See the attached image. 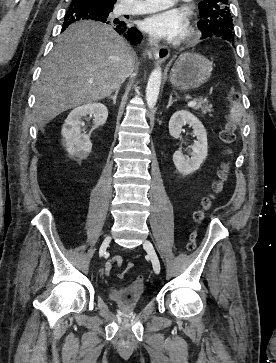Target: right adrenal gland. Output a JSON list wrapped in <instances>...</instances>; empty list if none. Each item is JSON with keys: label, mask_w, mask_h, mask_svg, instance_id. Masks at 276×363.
<instances>
[{"label": "right adrenal gland", "mask_w": 276, "mask_h": 363, "mask_svg": "<svg viewBox=\"0 0 276 363\" xmlns=\"http://www.w3.org/2000/svg\"><path fill=\"white\" fill-rule=\"evenodd\" d=\"M119 93V90H116L115 91V94L113 96H110L108 99H112L113 100V103L116 104V101H117V95Z\"/></svg>", "instance_id": "1"}]
</instances>
